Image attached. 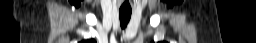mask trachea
<instances>
[{
	"mask_svg": "<svg viewBox=\"0 0 256 43\" xmlns=\"http://www.w3.org/2000/svg\"><path fill=\"white\" fill-rule=\"evenodd\" d=\"M131 13V10H119L120 26L122 29H125L127 27V24L129 23V20L131 18Z\"/></svg>",
	"mask_w": 256,
	"mask_h": 43,
	"instance_id": "3493384b",
	"label": "trachea"
}]
</instances>
